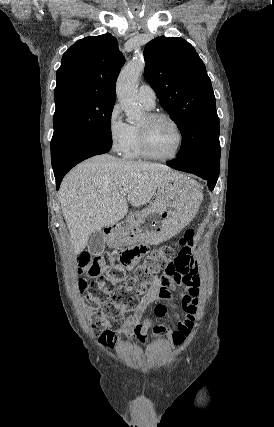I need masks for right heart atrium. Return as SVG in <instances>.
Wrapping results in <instances>:
<instances>
[{
    "label": "right heart atrium",
    "mask_w": 274,
    "mask_h": 427,
    "mask_svg": "<svg viewBox=\"0 0 274 427\" xmlns=\"http://www.w3.org/2000/svg\"><path fill=\"white\" fill-rule=\"evenodd\" d=\"M106 131L112 151L122 152L130 138V126L123 120L118 104L107 115Z\"/></svg>",
    "instance_id": "obj_1"
}]
</instances>
